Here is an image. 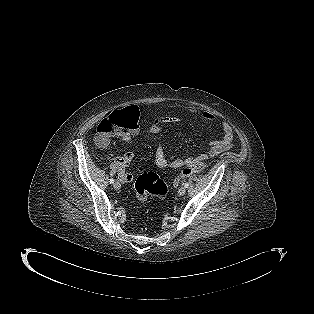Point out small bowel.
I'll return each mask as SVG.
<instances>
[{
	"instance_id": "c3829d8e",
	"label": "small bowel",
	"mask_w": 314,
	"mask_h": 314,
	"mask_svg": "<svg viewBox=\"0 0 314 314\" xmlns=\"http://www.w3.org/2000/svg\"><path fill=\"white\" fill-rule=\"evenodd\" d=\"M186 113L195 114L196 111L192 108H188L186 110ZM203 117H205L206 119L215 121V117L212 116L211 114L204 113ZM180 120H181V117L178 115H170V114L162 115L156 118L152 122L151 126L148 128V134L150 135L157 134L161 132L164 125L177 123ZM221 129H222V136L219 139L210 142L209 149L206 153H202L196 156H191L186 159L176 158L170 163L167 160L165 150H164V145L162 142H160L156 146V149H155L156 165L161 169L166 168L168 165L172 166L173 168H181L183 166L193 165L194 163L200 160H205L207 158L215 157L229 150L232 147V139H233L232 127L228 122L224 121L221 123ZM138 133H139V129L137 128L132 132L119 134L118 139L122 142H129L131 141L132 137H134ZM96 143L98 144V146L105 148L109 145L110 139L108 138L104 142H101L96 138ZM134 156H135V153L133 151H127L122 156H115L113 154L108 155V158L119 167L120 177L124 182L131 181L133 177L131 173L125 172V168L129 166Z\"/></svg>"
}]
</instances>
